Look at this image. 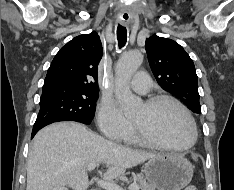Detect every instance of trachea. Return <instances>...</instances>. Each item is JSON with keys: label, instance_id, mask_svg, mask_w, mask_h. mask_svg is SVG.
<instances>
[{"label": "trachea", "instance_id": "3493384b", "mask_svg": "<svg viewBox=\"0 0 234 190\" xmlns=\"http://www.w3.org/2000/svg\"><path fill=\"white\" fill-rule=\"evenodd\" d=\"M117 39H118L119 48L125 46L127 41V30L124 26L120 24L117 27Z\"/></svg>", "mask_w": 234, "mask_h": 190}]
</instances>
